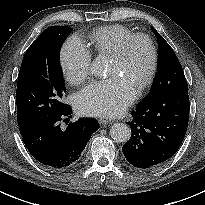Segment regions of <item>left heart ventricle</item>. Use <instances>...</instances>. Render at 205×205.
<instances>
[{
	"instance_id": "left-heart-ventricle-1",
	"label": "left heart ventricle",
	"mask_w": 205,
	"mask_h": 205,
	"mask_svg": "<svg viewBox=\"0 0 205 205\" xmlns=\"http://www.w3.org/2000/svg\"><path fill=\"white\" fill-rule=\"evenodd\" d=\"M150 65L149 48L143 41L135 42L127 57L122 61L111 62V76H121L128 79L135 87L144 79Z\"/></svg>"
}]
</instances>
